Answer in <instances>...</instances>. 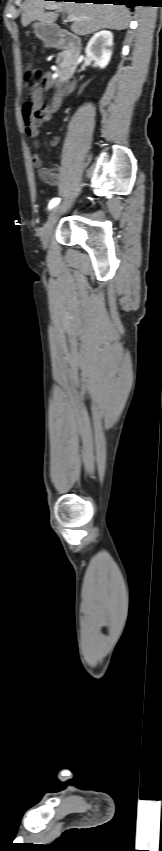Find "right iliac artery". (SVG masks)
Segmentation results:
<instances>
[{"mask_svg": "<svg viewBox=\"0 0 162 851\" xmlns=\"http://www.w3.org/2000/svg\"><path fill=\"white\" fill-rule=\"evenodd\" d=\"M60 202V198H53L49 203V209L55 207Z\"/></svg>", "mask_w": 162, "mask_h": 851, "instance_id": "obj_1", "label": "right iliac artery"}]
</instances>
